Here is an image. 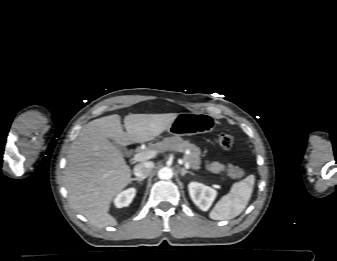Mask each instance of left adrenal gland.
<instances>
[{
  "instance_id": "left-adrenal-gland-1",
  "label": "left adrenal gland",
  "mask_w": 337,
  "mask_h": 261,
  "mask_svg": "<svg viewBox=\"0 0 337 261\" xmlns=\"http://www.w3.org/2000/svg\"><path fill=\"white\" fill-rule=\"evenodd\" d=\"M179 170H180V174H181L182 177H184L186 174L194 175L193 172L188 171V170H186L185 168H179Z\"/></svg>"
}]
</instances>
